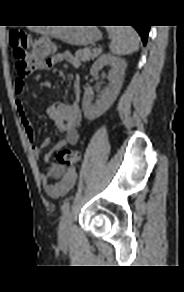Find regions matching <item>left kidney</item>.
Listing matches in <instances>:
<instances>
[{
  "instance_id": "1",
  "label": "left kidney",
  "mask_w": 184,
  "mask_h": 292,
  "mask_svg": "<svg viewBox=\"0 0 184 292\" xmlns=\"http://www.w3.org/2000/svg\"><path fill=\"white\" fill-rule=\"evenodd\" d=\"M111 66L108 74L109 85L102 91L95 103L93 93L86 90L82 100V107L85 117L92 121L104 114L116 100L123 84L126 62L124 59L114 57L110 54L101 55L92 65L90 74L97 76L104 66Z\"/></svg>"
}]
</instances>
